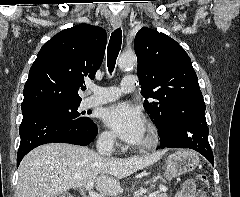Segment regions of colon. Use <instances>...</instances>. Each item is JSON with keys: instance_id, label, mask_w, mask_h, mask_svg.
<instances>
[{"instance_id": "obj_1", "label": "colon", "mask_w": 240, "mask_h": 197, "mask_svg": "<svg viewBox=\"0 0 240 197\" xmlns=\"http://www.w3.org/2000/svg\"><path fill=\"white\" fill-rule=\"evenodd\" d=\"M197 179H198L200 182H202L203 184H205V185L208 184V178H207V176L204 175V174H199V175L197 176Z\"/></svg>"}]
</instances>
